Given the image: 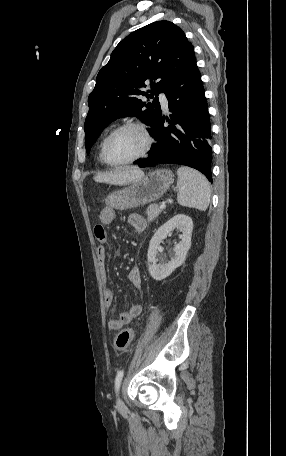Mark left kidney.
<instances>
[{
  "mask_svg": "<svg viewBox=\"0 0 286 456\" xmlns=\"http://www.w3.org/2000/svg\"><path fill=\"white\" fill-rule=\"evenodd\" d=\"M177 228L182 232L181 241L174 247L175 257L165 264H157V253L160 243L167 235ZM193 230L192 219L184 214H178L163 224L154 234L149 243L148 249V264L149 273L153 279L161 281L168 277L176 268L181 266L185 259L188 250L191 246V235Z\"/></svg>",
  "mask_w": 286,
  "mask_h": 456,
  "instance_id": "left-kidney-1",
  "label": "left kidney"
}]
</instances>
